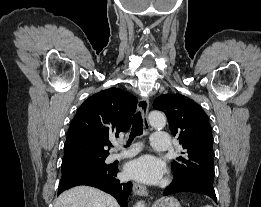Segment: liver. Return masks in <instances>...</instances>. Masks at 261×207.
<instances>
[{"mask_svg":"<svg viewBox=\"0 0 261 207\" xmlns=\"http://www.w3.org/2000/svg\"><path fill=\"white\" fill-rule=\"evenodd\" d=\"M54 207H120L111 195L89 186H76L63 192Z\"/></svg>","mask_w":261,"mask_h":207,"instance_id":"1","label":"liver"}]
</instances>
